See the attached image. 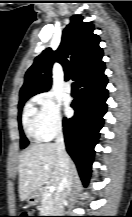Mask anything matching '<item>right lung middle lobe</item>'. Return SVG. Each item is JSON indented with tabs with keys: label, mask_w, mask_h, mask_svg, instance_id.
<instances>
[{
	"label": "right lung middle lobe",
	"mask_w": 132,
	"mask_h": 217,
	"mask_svg": "<svg viewBox=\"0 0 132 217\" xmlns=\"http://www.w3.org/2000/svg\"><path fill=\"white\" fill-rule=\"evenodd\" d=\"M28 98H30V97L20 99L19 106H18V109H19L18 121H19V130H20V145H21L22 149H24L29 144L27 138L24 135V132H23L22 126H21V111H22V108H23V105H24L25 101Z\"/></svg>",
	"instance_id": "dd1d6c3e"
}]
</instances>
